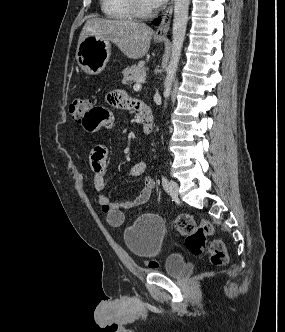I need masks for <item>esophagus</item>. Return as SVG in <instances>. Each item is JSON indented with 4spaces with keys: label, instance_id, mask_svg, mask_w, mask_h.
<instances>
[{
    "label": "esophagus",
    "instance_id": "34e87169",
    "mask_svg": "<svg viewBox=\"0 0 285 332\" xmlns=\"http://www.w3.org/2000/svg\"><path fill=\"white\" fill-rule=\"evenodd\" d=\"M173 1L174 0H171L169 6L165 10V12L162 16L161 22L155 32V37H157V38H164V37H166V35L168 33L170 22H171V17H172V13H173Z\"/></svg>",
    "mask_w": 285,
    "mask_h": 332
}]
</instances>
